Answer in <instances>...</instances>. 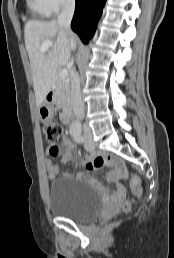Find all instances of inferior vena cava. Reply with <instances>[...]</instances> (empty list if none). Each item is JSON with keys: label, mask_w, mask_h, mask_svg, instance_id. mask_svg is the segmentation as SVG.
<instances>
[{"label": "inferior vena cava", "mask_w": 174, "mask_h": 258, "mask_svg": "<svg viewBox=\"0 0 174 258\" xmlns=\"http://www.w3.org/2000/svg\"><path fill=\"white\" fill-rule=\"evenodd\" d=\"M75 10V0H65L64 7L62 12L57 18V24L64 27L67 33L71 34V20L74 15ZM71 48L75 49L76 45L73 40H71ZM71 105L74 111V114L77 119L82 120L85 116L84 103L81 99L80 91V78L78 73L75 70L71 71ZM85 132H89L90 129L87 124L83 125Z\"/></svg>", "instance_id": "602c4592"}]
</instances>
